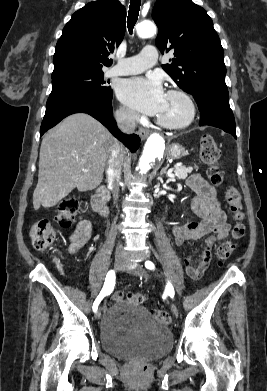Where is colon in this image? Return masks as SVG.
I'll list each match as a JSON object with an SVG mask.
<instances>
[{"instance_id": "obj_1", "label": "colon", "mask_w": 267, "mask_h": 391, "mask_svg": "<svg viewBox=\"0 0 267 391\" xmlns=\"http://www.w3.org/2000/svg\"><path fill=\"white\" fill-rule=\"evenodd\" d=\"M220 156V149L216 141L210 135H204L200 143V158L207 166V174L214 185H220L223 181V173L217 162ZM225 200L232 216L237 223L232 229V237L235 240L241 239L246 233V227L242 223L244 213L242 211V201L239 191L235 187H228L225 190ZM81 213V204L75 198L63 200L56 209L55 222L63 228L71 227L79 214ZM30 238L33 247L43 251L48 249L55 240V230L50 221L43 219L35 222L30 228ZM234 244L231 241H225L217 248V256L221 261L227 260L233 253ZM113 301H121L124 298L123 293L114 292L111 296ZM126 299L135 304H142L145 295L140 292H132L126 295ZM151 314L161 321L164 325L171 323V317L168 312L158 309H152Z\"/></svg>"}]
</instances>
